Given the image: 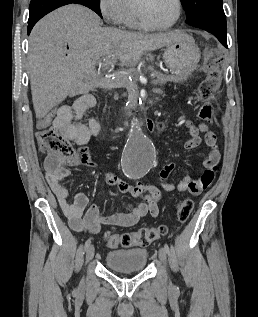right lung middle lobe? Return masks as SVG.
Returning <instances> with one entry per match:
<instances>
[{"mask_svg": "<svg viewBox=\"0 0 258 317\" xmlns=\"http://www.w3.org/2000/svg\"><path fill=\"white\" fill-rule=\"evenodd\" d=\"M98 4H100V0H95Z\"/></svg>", "mask_w": 258, "mask_h": 317, "instance_id": "right-lung-middle-lobe-1", "label": "right lung middle lobe"}]
</instances>
